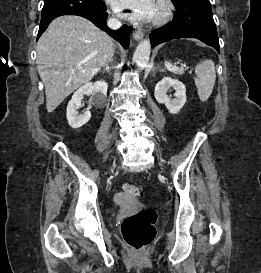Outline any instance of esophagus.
Segmentation results:
<instances>
[{
	"instance_id": "obj_1",
	"label": "esophagus",
	"mask_w": 261,
	"mask_h": 273,
	"mask_svg": "<svg viewBox=\"0 0 261 273\" xmlns=\"http://www.w3.org/2000/svg\"><path fill=\"white\" fill-rule=\"evenodd\" d=\"M144 37V32L140 29L138 30H135L133 32V38L136 40V41H139V40H142Z\"/></svg>"
}]
</instances>
